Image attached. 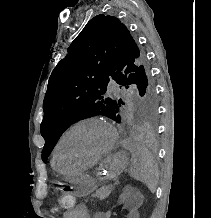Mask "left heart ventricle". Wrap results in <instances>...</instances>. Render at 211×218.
Returning a JSON list of instances; mask_svg holds the SVG:
<instances>
[{
  "label": "left heart ventricle",
  "mask_w": 211,
  "mask_h": 218,
  "mask_svg": "<svg viewBox=\"0 0 211 218\" xmlns=\"http://www.w3.org/2000/svg\"><path fill=\"white\" fill-rule=\"evenodd\" d=\"M110 142L108 130L101 124L88 123L71 132L59 150L60 164H85L92 161Z\"/></svg>",
  "instance_id": "1"
}]
</instances>
